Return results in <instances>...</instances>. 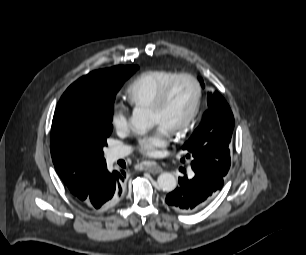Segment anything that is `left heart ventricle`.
<instances>
[{
	"mask_svg": "<svg viewBox=\"0 0 306 255\" xmlns=\"http://www.w3.org/2000/svg\"><path fill=\"white\" fill-rule=\"evenodd\" d=\"M196 98V87L187 79L179 81L160 110H151L153 124L166 128L169 132L178 127L189 116Z\"/></svg>",
	"mask_w": 306,
	"mask_h": 255,
	"instance_id": "left-heart-ventricle-1",
	"label": "left heart ventricle"
}]
</instances>
